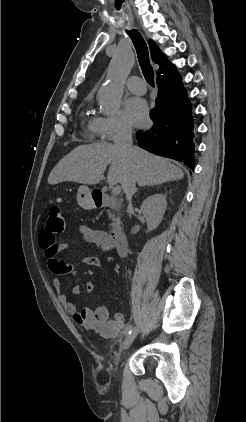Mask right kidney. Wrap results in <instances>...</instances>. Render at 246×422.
I'll use <instances>...</instances> for the list:
<instances>
[{
	"instance_id": "obj_1",
	"label": "right kidney",
	"mask_w": 246,
	"mask_h": 422,
	"mask_svg": "<svg viewBox=\"0 0 246 422\" xmlns=\"http://www.w3.org/2000/svg\"><path fill=\"white\" fill-rule=\"evenodd\" d=\"M167 208V200L164 194H153L147 197L141 205V212L146 219L148 231L156 229Z\"/></svg>"
}]
</instances>
